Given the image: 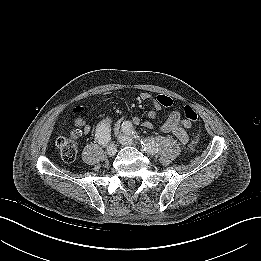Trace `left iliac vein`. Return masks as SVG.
I'll return each instance as SVG.
<instances>
[{
    "mask_svg": "<svg viewBox=\"0 0 261 261\" xmlns=\"http://www.w3.org/2000/svg\"><path fill=\"white\" fill-rule=\"evenodd\" d=\"M119 139L122 144H132V139L127 136H119Z\"/></svg>",
    "mask_w": 261,
    "mask_h": 261,
    "instance_id": "1",
    "label": "left iliac vein"
}]
</instances>
